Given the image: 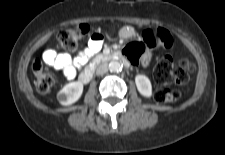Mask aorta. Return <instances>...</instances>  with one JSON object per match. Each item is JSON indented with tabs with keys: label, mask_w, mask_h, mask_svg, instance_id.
Listing matches in <instances>:
<instances>
[{
	"label": "aorta",
	"mask_w": 225,
	"mask_h": 155,
	"mask_svg": "<svg viewBox=\"0 0 225 155\" xmlns=\"http://www.w3.org/2000/svg\"><path fill=\"white\" fill-rule=\"evenodd\" d=\"M109 70L111 72H120L122 70V64L118 61H111L109 63Z\"/></svg>",
	"instance_id": "762f6f07"
}]
</instances>
